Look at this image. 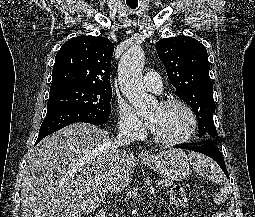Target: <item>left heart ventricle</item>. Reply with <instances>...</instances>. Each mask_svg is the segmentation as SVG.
<instances>
[{
	"label": "left heart ventricle",
	"instance_id": "obj_1",
	"mask_svg": "<svg viewBox=\"0 0 255 217\" xmlns=\"http://www.w3.org/2000/svg\"><path fill=\"white\" fill-rule=\"evenodd\" d=\"M152 131L164 139H176L185 135L190 128V117L179 105L155 106L147 115Z\"/></svg>",
	"mask_w": 255,
	"mask_h": 217
}]
</instances>
